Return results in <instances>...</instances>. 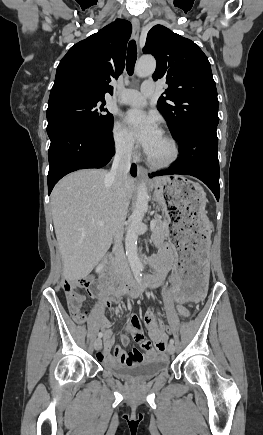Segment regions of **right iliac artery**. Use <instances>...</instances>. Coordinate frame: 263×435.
Listing matches in <instances>:
<instances>
[{
  "label": "right iliac artery",
  "instance_id": "1",
  "mask_svg": "<svg viewBox=\"0 0 263 435\" xmlns=\"http://www.w3.org/2000/svg\"><path fill=\"white\" fill-rule=\"evenodd\" d=\"M135 276H136V279H137L139 282L142 281V274L140 273V270H136V271H135ZM102 336H103L102 333L99 332V333H98V338H101Z\"/></svg>",
  "mask_w": 263,
  "mask_h": 435
}]
</instances>
